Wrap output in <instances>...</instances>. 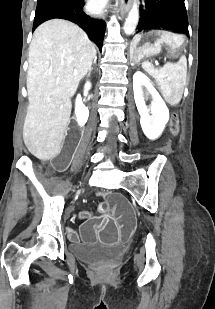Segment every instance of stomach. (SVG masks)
Listing matches in <instances>:
<instances>
[{
	"instance_id": "0dacf381",
	"label": "stomach",
	"mask_w": 215,
	"mask_h": 309,
	"mask_svg": "<svg viewBox=\"0 0 215 309\" xmlns=\"http://www.w3.org/2000/svg\"><path fill=\"white\" fill-rule=\"evenodd\" d=\"M185 37L163 29L149 30L136 34L130 43V60H140L166 52L167 55L178 57L184 51Z\"/></svg>"
}]
</instances>
